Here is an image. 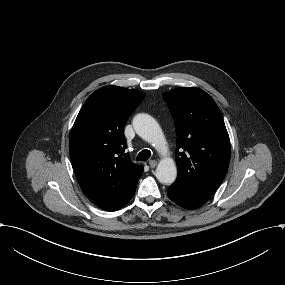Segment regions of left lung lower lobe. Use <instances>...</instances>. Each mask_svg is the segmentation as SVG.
Listing matches in <instances>:
<instances>
[{"label": "left lung lower lobe", "instance_id": "left-lung-lower-lobe-1", "mask_svg": "<svg viewBox=\"0 0 285 285\" xmlns=\"http://www.w3.org/2000/svg\"><path fill=\"white\" fill-rule=\"evenodd\" d=\"M168 196L177 205L190 210L200 207L208 199L186 190L177 183L168 188Z\"/></svg>", "mask_w": 285, "mask_h": 285}]
</instances>
